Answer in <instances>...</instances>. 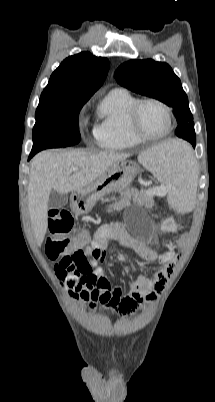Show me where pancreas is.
<instances>
[{
    "instance_id": "obj_1",
    "label": "pancreas",
    "mask_w": 215,
    "mask_h": 402,
    "mask_svg": "<svg viewBox=\"0 0 215 402\" xmlns=\"http://www.w3.org/2000/svg\"><path fill=\"white\" fill-rule=\"evenodd\" d=\"M133 193L132 189H123L120 191V200L118 202H115L114 204L108 206L107 212H113V211H120L122 210L125 206H128L130 204L131 200V195ZM143 190L141 191V194H143Z\"/></svg>"
}]
</instances>
